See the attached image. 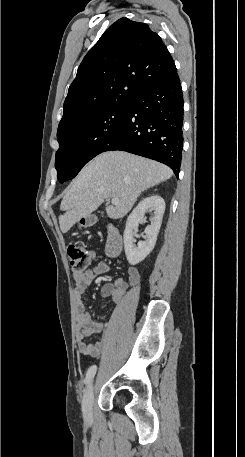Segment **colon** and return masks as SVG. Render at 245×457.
Returning <instances> with one entry per match:
<instances>
[{
	"label": "colon",
	"mask_w": 245,
	"mask_h": 457,
	"mask_svg": "<svg viewBox=\"0 0 245 457\" xmlns=\"http://www.w3.org/2000/svg\"><path fill=\"white\" fill-rule=\"evenodd\" d=\"M70 264L75 271L84 270L90 261V252L83 244H71L67 248Z\"/></svg>",
	"instance_id": "obj_1"
}]
</instances>
